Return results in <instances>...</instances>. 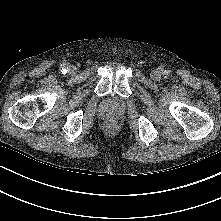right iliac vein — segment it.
<instances>
[{"label":"right iliac vein","instance_id":"63e3f726","mask_svg":"<svg viewBox=\"0 0 221 221\" xmlns=\"http://www.w3.org/2000/svg\"><path fill=\"white\" fill-rule=\"evenodd\" d=\"M75 71H76V67H75V66H70V67H69V72H70L71 74L75 73Z\"/></svg>","mask_w":221,"mask_h":221}]
</instances>
